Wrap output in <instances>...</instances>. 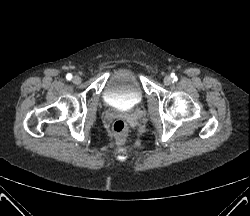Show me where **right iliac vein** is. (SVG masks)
Returning <instances> with one entry per match:
<instances>
[{
  "label": "right iliac vein",
  "mask_w": 250,
  "mask_h": 216,
  "mask_svg": "<svg viewBox=\"0 0 250 216\" xmlns=\"http://www.w3.org/2000/svg\"><path fill=\"white\" fill-rule=\"evenodd\" d=\"M72 81H73L74 84H80L81 83V77L76 75V76L73 77Z\"/></svg>",
  "instance_id": "obj_1"
}]
</instances>
